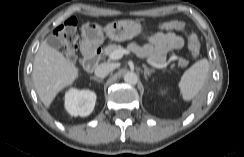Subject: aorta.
Segmentation results:
<instances>
[{"label":"aorta","mask_w":244,"mask_h":157,"mask_svg":"<svg viewBox=\"0 0 244 157\" xmlns=\"http://www.w3.org/2000/svg\"><path fill=\"white\" fill-rule=\"evenodd\" d=\"M124 81H125L127 84L135 85V84L138 82V76H137V74L134 73V72H127V73L124 75Z\"/></svg>","instance_id":"762f6f07"}]
</instances>
